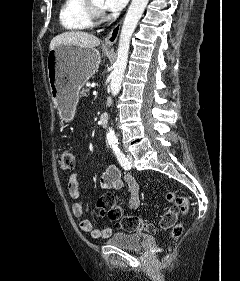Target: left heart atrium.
<instances>
[{
	"instance_id": "obj_1",
	"label": "left heart atrium",
	"mask_w": 240,
	"mask_h": 281,
	"mask_svg": "<svg viewBox=\"0 0 240 281\" xmlns=\"http://www.w3.org/2000/svg\"><path fill=\"white\" fill-rule=\"evenodd\" d=\"M129 0H106L105 6L111 11L121 10Z\"/></svg>"
}]
</instances>
